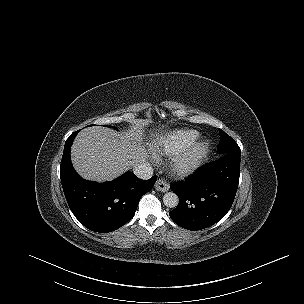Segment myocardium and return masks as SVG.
I'll list each match as a JSON object with an SVG mask.
<instances>
[{
    "instance_id": "obj_1",
    "label": "myocardium",
    "mask_w": 304,
    "mask_h": 304,
    "mask_svg": "<svg viewBox=\"0 0 304 304\" xmlns=\"http://www.w3.org/2000/svg\"><path fill=\"white\" fill-rule=\"evenodd\" d=\"M210 149L208 140L194 143L184 152L178 154L170 163L172 172L179 177H185L195 172L207 157Z\"/></svg>"
}]
</instances>
